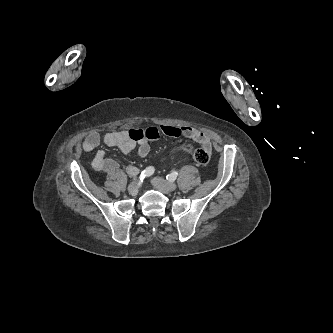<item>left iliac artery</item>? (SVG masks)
I'll return each mask as SVG.
<instances>
[{
    "label": "left iliac artery",
    "mask_w": 333,
    "mask_h": 333,
    "mask_svg": "<svg viewBox=\"0 0 333 333\" xmlns=\"http://www.w3.org/2000/svg\"><path fill=\"white\" fill-rule=\"evenodd\" d=\"M178 176V172L177 171H173L171 174L167 175V178L170 180V181H174Z\"/></svg>",
    "instance_id": "44dca946"
}]
</instances>
